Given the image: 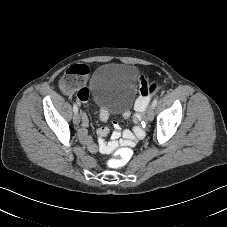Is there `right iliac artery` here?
<instances>
[{
  "label": "right iliac artery",
  "instance_id": "82829eb1",
  "mask_svg": "<svg viewBox=\"0 0 227 227\" xmlns=\"http://www.w3.org/2000/svg\"><path fill=\"white\" fill-rule=\"evenodd\" d=\"M73 111H74L75 114L78 113V107H77L76 104H74V106H73ZM142 123H143V122H142Z\"/></svg>",
  "mask_w": 227,
  "mask_h": 227
}]
</instances>
